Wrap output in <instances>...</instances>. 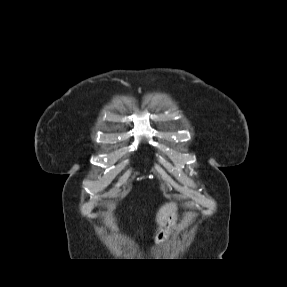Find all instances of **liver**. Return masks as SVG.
<instances>
[{
    "label": "liver",
    "mask_w": 287,
    "mask_h": 287,
    "mask_svg": "<svg viewBox=\"0 0 287 287\" xmlns=\"http://www.w3.org/2000/svg\"><path fill=\"white\" fill-rule=\"evenodd\" d=\"M176 205L174 203H167L160 207L156 215V222L159 225V229L163 227L166 220H168L171 216H176Z\"/></svg>",
    "instance_id": "6515ba94"
}]
</instances>
